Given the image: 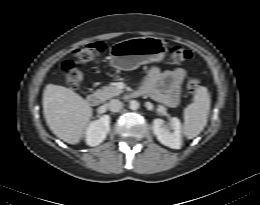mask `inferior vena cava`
<instances>
[{
	"label": "inferior vena cava",
	"instance_id": "1",
	"mask_svg": "<svg viewBox=\"0 0 260 205\" xmlns=\"http://www.w3.org/2000/svg\"><path fill=\"white\" fill-rule=\"evenodd\" d=\"M108 108L110 111L112 112H118L122 106H123V103L118 100V99H112L108 104H107Z\"/></svg>",
	"mask_w": 260,
	"mask_h": 205
}]
</instances>
